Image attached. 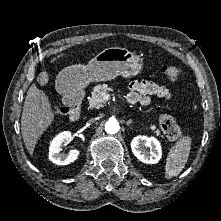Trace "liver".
Returning a JSON list of instances; mask_svg holds the SVG:
<instances>
[{"mask_svg":"<svg viewBox=\"0 0 221 221\" xmlns=\"http://www.w3.org/2000/svg\"><path fill=\"white\" fill-rule=\"evenodd\" d=\"M63 56L64 54L58 55L50 63ZM54 117L48 96L32 84L27 91L21 117V133L30 155L34 153L38 139L53 123Z\"/></svg>","mask_w":221,"mask_h":221,"instance_id":"6515ba94","label":"liver"}]
</instances>
